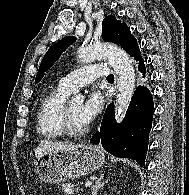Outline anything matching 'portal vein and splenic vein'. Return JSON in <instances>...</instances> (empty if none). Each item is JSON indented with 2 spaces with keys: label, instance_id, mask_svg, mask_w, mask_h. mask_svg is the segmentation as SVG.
Returning <instances> with one entry per match:
<instances>
[{
  "label": "portal vein and splenic vein",
  "instance_id": "1",
  "mask_svg": "<svg viewBox=\"0 0 189 195\" xmlns=\"http://www.w3.org/2000/svg\"><path fill=\"white\" fill-rule=\"evenodd\" d=\"M91 185H92V182H91V181H88V182L85 183V186H86V187H89V186H91Z\"/></svg>",
  "mask_w": 189,
  "mask_h": 195
}]
</instances>
